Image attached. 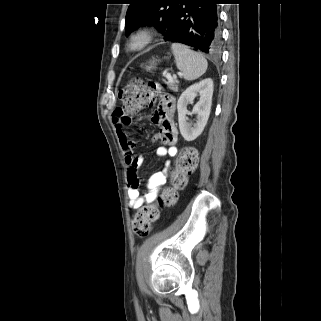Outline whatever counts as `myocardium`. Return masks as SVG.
Segmentation results:
<instances>
[{
    "label": "myocardium",
    "instance_id": "f54148a6",
    "mask_svg": "<svg viewBox=\"0 0 321 321\" xmlns=\"http://www.w3.org/2000/svg\"><path fill=\"white\" fill-rule=\"evenodd\" d=\"M153 40V33L148 28H142L132 33L127 41L130 52H139L147 47Z\"/></svg>",
    "mask_w": 321,
    "mask_h": 321
}]
</instances>
